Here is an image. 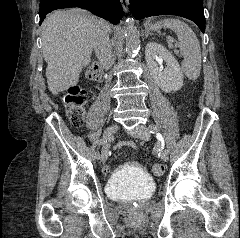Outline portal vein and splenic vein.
Returning a JSON list of instances; mask_svg holds the SVG:
<instances>
[{
    "mask_svg": "<svg viewBox=\"0 0 240 238\" xmlns=\"http://www.w3.org/2000/svg\"><path fill=\"white\" fill-rule=\"evenodd\" d=\"M168 41H169V47H170V48H173V45H172V42H173V41H172V39H169Z\"/></svg>",
    "mask_w": 240,
    "mask_h": 238,
    "instance_id": "1",
    "label": "portal vein and splenic vein"
}]
</instances>
